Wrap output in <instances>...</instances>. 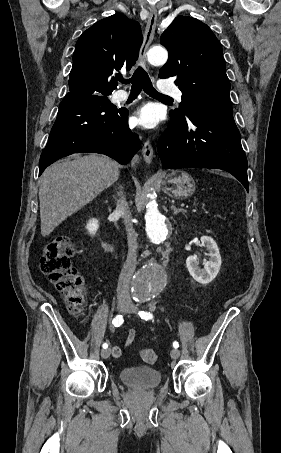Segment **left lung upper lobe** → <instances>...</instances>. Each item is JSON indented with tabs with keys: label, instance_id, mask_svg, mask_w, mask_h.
<instances>
[{
	"label": "left lung upper lobe",
	"instance_id": "5c2ea615",
	"mask_svg": "<svg viewBox=\"0 0 281 453\" xmlns=\"http://www.w3.org/2000/svg\"><path fill=\"white\" fill-rule=\"evenodd\" d=\"M160 43L167 48L169 58L159 77L174 76L182 91L179 109L170 112L173 119L193 109L231 106L222 47L206 24L180 15L164 31Z\"/></svg>",
	"mask_w": 281,
	"mask_h": 453
}]
</instances>
